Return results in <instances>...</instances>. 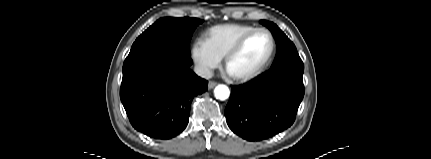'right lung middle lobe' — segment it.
Wrapping results in <instances>:
<instances>
[{
  "label": "right lung middle lobe",
  "instance_id": "dd1d6c3e",
  "mask_svg": "<svg viewBox=\"0 0 431 159\" xmlns=\"http://www.w3.org/2000/svg\"><path fill=\"white\" fill-rule=\"evenodd\" d=\"M202 22L203 20L190 17L160 18L135 40L131 51L151 44H164L173 46L190 55L189 44L192 34L195 28Z\"/></svg>",
  "mask_w": 431,
  "mask_h": 159
}]
</instances>
